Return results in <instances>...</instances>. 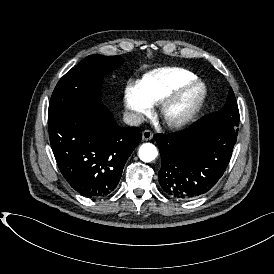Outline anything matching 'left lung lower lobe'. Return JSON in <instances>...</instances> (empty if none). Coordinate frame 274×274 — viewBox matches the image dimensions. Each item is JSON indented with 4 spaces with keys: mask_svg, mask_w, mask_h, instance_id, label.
Masks as SVG:
<instances>
[{
    "mask_svg": "<svg viewBox=\"0 0 274 274\" xmlns=\"http://www.w3.org/2000/svg\"><path fill=\"white\" fill-rule=\"evenodd\" d=\"M237 134L201 119L181 132L156 134L162 159L158 177L164 192L191 199L209 191L227 168Z\"/></svg>",
    "mask_w": 274,
    "mask_h": 274,
    "instance_id": "0a47b994",
    "label": "left lung lower lobe"
}]
</instances>
